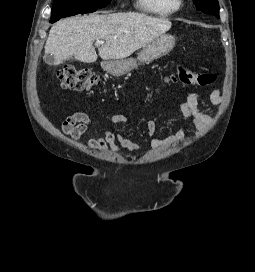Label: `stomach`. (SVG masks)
Listing matches in <instances>:
<instances>
[{
    "label": "stomach",
    "instance_id": "obj_1",
    "mask_svg": "<svg viewBox=\"0 0 255 272\" xmlns=\"http://www.w3.org/2000/svg\"><path fill=\"white\" fill-rule=\"evenodd\" d=\"M175 45V38L169 34H161L150 43L146 44L137 54V58L121 60H109L102 67L113 76L124 75L140 64H148L151 61L168 54Z\"/></svg>",
    "mask_w": 255,
    "mask_h": 272
}]
</instances>
